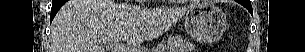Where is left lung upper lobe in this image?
I'll list each match as a JSON object with an SVG mask.
<instances>
[{"label":"left lung upper lobe","instance_id":"1","mask_svg":"<svg viewBox=\"0 0 305 52\" xmlns=\"http://www.w3.org/2000/svg\"><path fill=\"white\" fill-rule=\"evenodd\" d=\"M238 3L243 5L250 13H252V6L250 0H238Z\"/></svg>","mask_w":305,"mask_h":52}]
</instances>
